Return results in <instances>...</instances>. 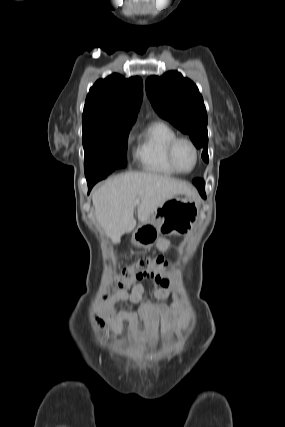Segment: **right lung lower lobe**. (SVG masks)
Wrapping results in <instances>:
<instances>
[{"mask_svg":"<svg viewBox=\"0 0 285 427\" xmlns=\"http://www.w3.org/2000/svg\"><path fill=\"white\" fill-rule=\"evenodd\" d=\"M107 176H104L103 178H100V179H95V180H92V181H87V183H88V189H89V192H90V190L92 189V187L94 186V184L96 183V182H98L99 180H101V179H104V178H106Z\"/></svg>","mask_w":285,"mask_h":427,"instance_id":"obj_1","label":"right lung lower lobe"}]
</instances>
